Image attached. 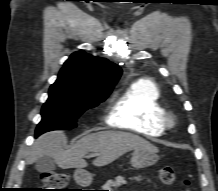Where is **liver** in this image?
<instances>
[{
  "mask_svg": "<svg viewBox=\"0 0 218 191\" xmlns=\"http://www.w3.org/2000/svg\"><path fill=\"white\" fill-rule=\"evenodd\" d=\"M66 136L62 131H55L40 136L31 147L26 163L32 164L43 156H50L62 169L84 168L87 166L84 156L89 152L97 155L93 161L95 166H105L131 150L158 149L138 135L117 132L100 131L87 134L79 139L74 146L65 149Z\"/></svg>",
  "mask_w": 218,
  "mask_h": 191,
  "instance_id": "1",
  "label": "liver"
}]
</instances>
